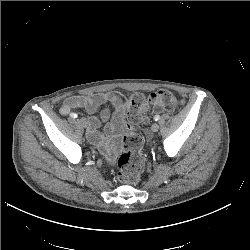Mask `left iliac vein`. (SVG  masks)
<instances>
[{"label": "left iliac vein", "mask_w": 250, "mask_h": 250, "mask_svg": "<svg viewBox=\"0 0 250 250\" xmlns=\"http://www.w3.org/2000/svg\"><path fill=\"white\" fill-rule=\"evenodd\" d=\"M159 129V125L157 123H153L152 126H151V130L153 132H157Z\"/></svg>", "instance_id": "4c4485c4"}]
</instances>
